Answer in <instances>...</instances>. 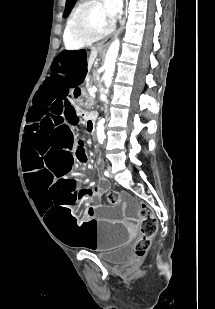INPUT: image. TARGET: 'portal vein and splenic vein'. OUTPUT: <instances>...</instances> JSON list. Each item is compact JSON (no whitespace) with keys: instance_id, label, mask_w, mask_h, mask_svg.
Segmentation results:
<instances>
[{"instance_id":"1","label":"portal vein and splenic vein","mask_w":215,"mask_h":309,"mask_svg":"<svg viewBox=\"0 0 215 309\" xmlns=\"http://www.w3.org/2000/svg\"><path fill=\"white\" fill-rule=\"evenodd\" d=\"M96 90H97L96 86H92V88H90L89 94H95Z\"/></svg>"}]
</instances>
